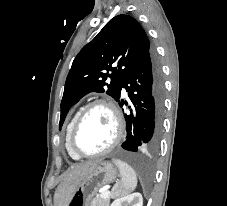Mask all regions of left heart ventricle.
Here are the masks:
<instances>
[{"label":"left heart ventricle","instance_id":"b2bd125f","mask_svg":"<svg viewBox=\"0 0 227 206\" xmlns=\"http://www.w3.org/2000/svg\"><path fill=\"white\" fill-rule=\"evenodd\" d=\"M114 136L115 122L111 112L98 106L85 116L76 135V146L84 153H96L108 147Z\"/></svg>","mask_w":227,"mask_h":206}]
</instances>
